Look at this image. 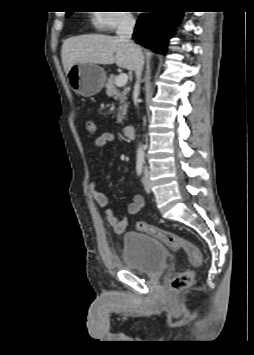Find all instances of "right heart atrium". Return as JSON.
Masks as SVG:
<instances>
[{"label": "right heart atrium", "instance_id": "d8ad5b80", "mask_svg": "<svg viewBox=\"0 0 254 355\" xmlns=\"http://www.w3.org/2000/svg\"><path fill=\"white\" fill-rule=\"evenodd\" d=\"M96 29L103 32H114L118 28L131 27L134 24V17L128 11H99L93 19Z\"/></svg>", "mask_w": 254, "mask_h": 355}]
</instances>
